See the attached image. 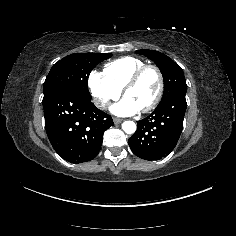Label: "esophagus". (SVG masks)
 <instances>
[{
    "label": "esophagus",
    "instance_id": "1",
    "mask_svg": "<svg viewBox=\"0 0 236 236\" xmlns=\"http://www.w3.org/2000/svg\"><path fill=\"white\" fill-rule=\"evenodd\" d=\"M113 121H114L115 124H119V123H121L123 120L120 119V118H113Z\"/></svg>",
    "mask_w": 236,
    "mask_h": 236
}]
</instances>
